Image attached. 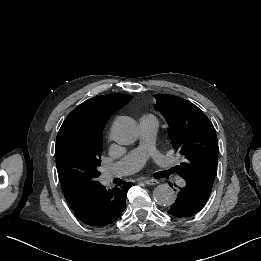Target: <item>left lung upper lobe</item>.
I'll list each match as a JSON object with an SVG mask.
<instances>
[{
	"instance_id": "left-lung-upper-lobe-1",
	"label": "left lung upper lobe",
	"mask_w": 261,
	"mask_h": 261,
	"mask_svg": "<svg viewBox=\"0 0 261 261\" xmlns=\"http://www.w3.org/2000/svg\"><path fill=\"white\" fill-rule=\"evenodd\" d=\"M156 108L168 122L173 148L185 162L177 167L180 176H193L213 186L218 141L215 129L206 115L191 102L173 95L156 94Z\"/></svg>"
}]
</instances>
